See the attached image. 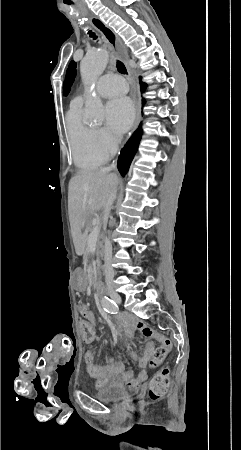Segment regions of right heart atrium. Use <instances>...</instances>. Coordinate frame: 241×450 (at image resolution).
Wrapping results in <instances>:
<instances>
[{
	"label": "right heart atrium",
	"instance_id": "obj_1",
	"mask_svg": "<svg viewBox=\"0 0 241 450\" xmlns=\"http://www.w3.org/2000/svg\"><path fill=\"white\" fill-rule=\"evenodd\" d=\"M94 136H99L100 142L104 145L99 146V150L107 157L113 154V151L106 148H115L118 144V139L107 133L106 135H103L99 131H94ZM104 136V137H103ZM106 146V147H105Z\"/></svg>",
	"mask_w": 241,
	"mask_h": 450
}]
</instances>
